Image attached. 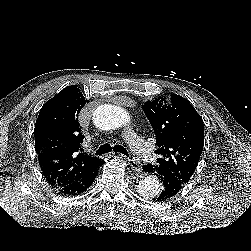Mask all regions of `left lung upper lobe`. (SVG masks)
I'll return each mask as SVG.
<instances>
[{"label": "left lung upper lobe", "mask_w": 251, "mask_h": 251, "mask_svg": "<svg viewBox=\"0 0 251 251\" xmlns=\"http://www.w3.org/2000/svg\"><path fill=\"white\" fill-rule=\"evenodd\" d=\"M142 108L155 133L160 154L157 166L185 185L192 177L204 146L203 120L191 103L171 94V104L163 96L147 101Z\"/></svg>", "instance_id": "5c2ea615"}]
</instances>
